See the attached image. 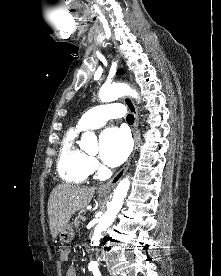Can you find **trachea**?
<instances>
[{
	"instance_id": "1",
	"label": "trachea",
	"mask_w": 221,
	"mask_h": 276,
	"mask_svg": "<svg viewBox=\"0 0 221 276\" xmlns=\"http://www.w3.org/2000/svg\"><path fill=\"white\" fill-rule=\"evenodd\" d=\"M126 119L129 124L134 123V116L132 114H128Z\"/></svg>"
}]
</instances>
